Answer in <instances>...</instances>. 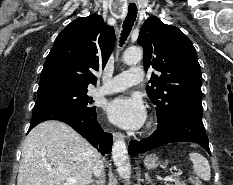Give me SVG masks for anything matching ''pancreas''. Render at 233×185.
<instances>
[{
	"instance_id": "obj_1",
	"label": "pancreas",
	"mask_w": 233,
	"mask_h": 185,
	"mask_svg": "<svg viewBox=\"0 0 233 185\" xmlns=\"http://www.w3.org/2000/svg\"><path fill=\"white\" fill-rule=\"evenodd\" d=\"M173 182L175 183L174 185H186L184 181H181L178 178H175Z\"/></svg>"
}]
</instances>
